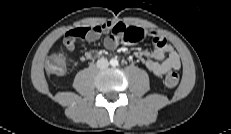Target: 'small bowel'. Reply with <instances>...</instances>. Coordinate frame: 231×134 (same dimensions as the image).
Instances as JSON below:
<instances>
[{
  "instance_id": "obj_1",
  "label": "small bowel",
  "mask_w": 231,
  "mask_h": 134,
  "mask_svg": "<svg viewBox=\"0 0 231 134\" xmlns=\"http://www.w3.org/2000/svg\"><path fill=\"white\" fill-rule=\"evenodd\" d=\"M102 34H108L104 40V46L108 50H114L122 44L135 43L146 35L141 28L115 21L93 27L70 30L64 35V45L67 49L74 50L78 38L93 42ZM148 36L155 48L152 51H141L136 54L147 69L157 76H162L170 70L179 69L181 61L174 47L158 33L151 32L148 33ZM99 55L100 52L97 50H87L81 55L80 59L81 61L92 60Z\"/></svg>"
}]
</instances>
